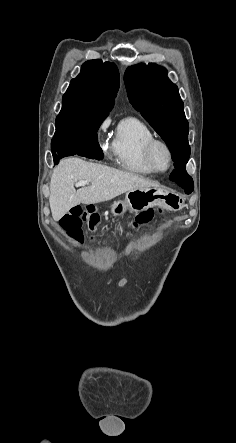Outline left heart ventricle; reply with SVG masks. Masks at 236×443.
I'll use <instances>...</instances> for the list:
<instances>
[{
    "label": "left heart ventricle",
    "instance_id": "left-heart-ventricle-1",
    "mask_svg": "<svg viewBox=\"0 0 236 443\" xmlns=\"http://www.w3.org/2000/svg\"><path fill=\"white\" fill-rule=\"evenodd\" d=\"M154 160L157 165V167L161 170L166 169L168 166V154L166 150L161 147L157 146L154 150Z\"/></svg>",
    "mask_w": 236,
    "mask_h": 443
}]
</instances>
